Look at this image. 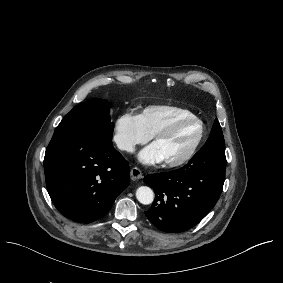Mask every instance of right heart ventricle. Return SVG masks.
Listing matches in <instances>:
<instances>
[{
    "label": "right heart ventricle",
    "instance_id": "e07e8e85",
    "mask_svg": "<svg viewBox=\"0 0 283 283\" xmlns=\"http://www.w3.org/2000/svg\"><path fill=\"white\" fill-rule=\"evenodd\" d=\"M184 115H192V113L180 107L155 105L147 107L143 111L141 118L149 133L156 135L174 120Z\"/></svg>",
    "mask_w": 283,
    "mask_h": 283
}]
</instances>
